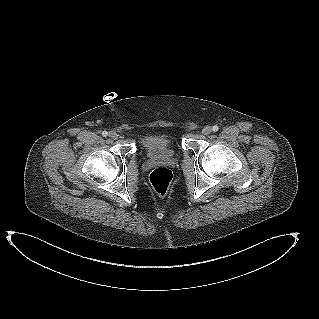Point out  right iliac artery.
<instances>
[{
  "label": "right iliac artery",
  "mask_w": 319,
  "mask_h": 319,
  "mask_svg": "<svg viewBox=\"0 0 319 319\" xmlns=\"http://www.w3.org/2000/svg\"><path fill=\"white\" fill-rule=\"evenodd\" d=\"M108 135V132L107 131H103L102 132V136L106 137Z\"/></svg>",
  "instance_id": "82829eb1"
}]
</instances>
